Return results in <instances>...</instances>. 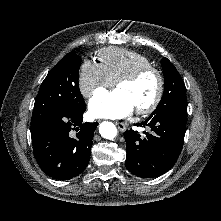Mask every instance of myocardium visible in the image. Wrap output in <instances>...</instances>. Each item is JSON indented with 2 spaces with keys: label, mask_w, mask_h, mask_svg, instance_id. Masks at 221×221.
I'll list each match as a JSON object with an SVG mask.
<instances>
[{
  "label": "myocardium",
  "mask_w": 221,
  "mask_h": 221,
  "mask_svg": "<svg viewBox=\"0 0 221 221\" xmlns=\"http://www.w3.org/2000/svg\"><path fill=\"white\" fill-rule=\"evenodd\" d=\"M148 73H152L157 77V81H158L157 93H156L153 101L149 105H147L143 108L136 109V113L138 115L150 114L159 106V104L163 98L164 90H165V79H164L162 72L158 68H156L152 65L142 66V67L136 68L135 70L131 71L130 73L122 76L121 78H119L116 81V86L118 87L122 83L135 82Z\"/></svg>",
  "instance_id": "obj_1"
}]
</instances>
